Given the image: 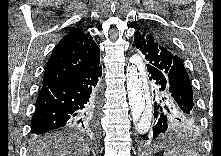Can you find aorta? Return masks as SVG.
Wrapping results in <instances>:
<instances>
[{
	"label": "aorta",
	"instance_id": "obj_1",
	"mask_svg": "<svg viewBox=\"0 0 221 156\" xmlns=\"http://www.w3.org/2000/svg\"><path fill=\"white\" fill-rule=\"evenodd\" d=\"M126 84L134 126L140 134H146L151 125L152 108L146 69L137 54L130 58V65L126 69Z\"/></svg>",
	"mask_w": 221,
	"mask_h": 156
}]
</instances>
